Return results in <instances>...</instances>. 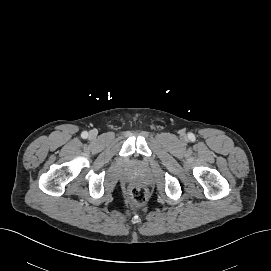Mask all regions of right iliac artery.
<instances>
[{
  "instance_id": "82829eb1",
  "label": "right iliac artery",
  "mask_w": 271,
  "mask_h": 271,
  "mask_svg": "<svg viewBox=\"0 0 271 271\" xmlns=\"http://www.w3.org/2000/svg\"><path fill=\"white\" fill-rule=\"evenodd\" d=\"M82 138H87L88 137V133L86 131L82 132L81 134Z\"/></svg>"
}]
</instances>
